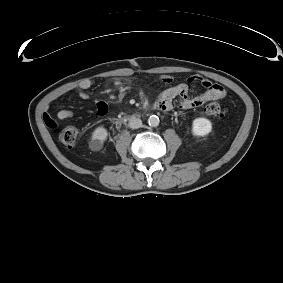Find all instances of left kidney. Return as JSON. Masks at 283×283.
<instances>
[{"mask_svg": "<svg viewBox=\"0 0 283 283\" xmlns=\"http://www.w3.org/2000/svg\"><path fill=\"white\" fill-rule=\"evenodd\" d=\"M212 131V123L206 118H196L192 123V133L194 136L203 137Z\"/></svg>", "mask_w": 283, "mask_h": 283, "instance_id": "1", "label": "left kidney"}]
</instances>
